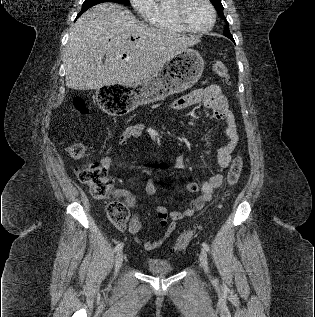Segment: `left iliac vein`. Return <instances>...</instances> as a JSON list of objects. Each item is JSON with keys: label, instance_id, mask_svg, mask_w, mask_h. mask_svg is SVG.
I'll return each mask as SVG.
<instances>
[{"label": "left iliac vein", "instance_id": "left-iliac-vein-1", "mask_svg": "<svg viewBox=\"0 0 315 317\" xmlns=\"http://www.w3.org/2000/svg\"><path fill=\"white\" fill-rule=\"evenodd\" d=\"M199 260L201 263V266L203 267L204 271L209 274V266H208V258H207V254L206 251L204 249H202L200 251V255H199Z\"/></svg>", "mask_w": 315, "mask_h": 317}]
</instances>
